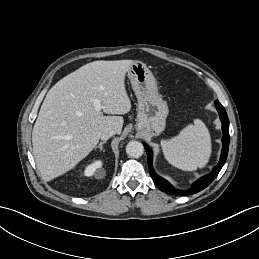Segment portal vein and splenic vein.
<instances>
[{
  "label": "portal vein and splenic vein",
  "instance_id": "portal-vein-and-splenic-vein-1",
  "mask_svg": "<svg viewBox=\"0 0 259 259\" xmlns=\"http://www.w3.org/2000/svg\"><path fill=\"white\" fill-rule=\"evenodd\" d=\"M92 102H93L95 110L98 112L101 111L102 106H101L100 101L98 99H93Z\"/></svg>",
  "mask_w": 259,
  "mask_h": 259
}]
</instances>
